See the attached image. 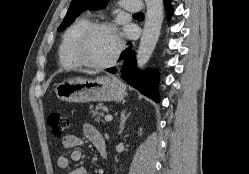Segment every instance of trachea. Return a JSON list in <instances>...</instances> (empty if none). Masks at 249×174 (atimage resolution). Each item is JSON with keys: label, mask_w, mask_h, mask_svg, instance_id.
<instances>
[{"label": "trachea", "mask_w": 249, "mask_h": 174, "mask_svg": "<svg viewBox=\"0 0 249 174\" xmlns=\"http://www.w3.org/2000/svg\"><path fill=\"white\" fill-rule=\"evenodd\" d=\"M136 15H143V13H142V12H139V13H136Z\"/></svg>", "instance_id": "trachea-1"}]
</instances>
